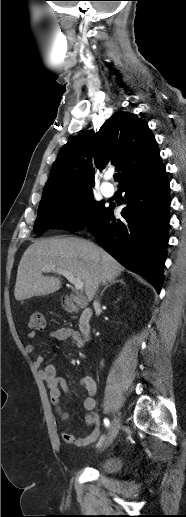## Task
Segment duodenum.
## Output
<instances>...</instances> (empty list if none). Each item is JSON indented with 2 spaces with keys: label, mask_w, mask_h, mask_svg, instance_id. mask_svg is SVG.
Here are the masks:
<instances>
[{
  "label": "duodenum",
  "mask_w": 186,
  "mask_h": 517,
  "mask_svg": "<svg viewBox=\"0 0 186 517\" xmlns=\"http://www.w3.org/2000/svg\"><path fill=\"white\" fill-rule=\"evenodd\" d=\"M64 302H65L66 310L70 313H73L80 308L81 313H80V316L78 319L79 332L86 339L89 338V336L91 334V318L93 315V310L87 306L79 307L68 296H66L64 298Z\"/></svg>",
  "instance_id": "duodenum-1"
}]
</instances>
